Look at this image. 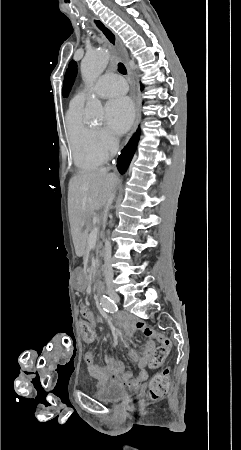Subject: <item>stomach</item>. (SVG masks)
I'll use <instances>...</instances> for the list:
<instances>
[{
  "label": "stomach",
  "mask_w": 241,
  "mask_h": 450,
  "mask_svg": "<svg viewBox=\"0 0 241 450\" xmlns=\"http://www.w3.org/2000/svg\"><path fill=\"white\" fill-rule=\"evenodd\" d=\"M75 281L76 283L81 287L84 286V277L82 273L79 270L75 271Z\"/></svg>",
  "instance_id": "stomach-1"
}]
</instances>
